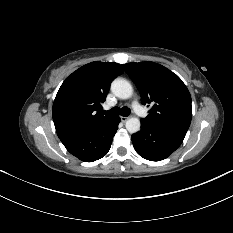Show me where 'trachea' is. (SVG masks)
<instances>
[{"mask_svg":"<svg viewBox=\"0 0 233 233\" xmlns=\"http://www.w3.org/2000/svg\"><path fill=\"white\" fill-rule=\"evenodd\" d=\"M104 115H110V116H117V115H122L124 117H127L130 115V109L128 107H113L109 111H103Z\"/></svg>","mask_w":233,"mask_h":233,"instance_id":"obj_1","label":"trachea"}]
</instances>
